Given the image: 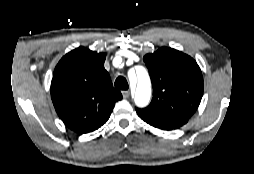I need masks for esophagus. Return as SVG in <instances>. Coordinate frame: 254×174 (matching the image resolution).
Returning a JSON list of instances; mask_svg holds the SVG:
<instances>
[{"label": "esophagus", "instance_id": "34e87169", "mask_svg": "<svg viewBox=\"0 0 254 174\" xmlns=\"http://www.w3.org/2000/svg\"><path fill=\"white\" fill-rule=\"evenodd\" d=\"M122 95L125 99L130 97V91L126 90V91H122Z\"/></svg>", "mask_w": 254, "mask_h": 174}]
</instances>
